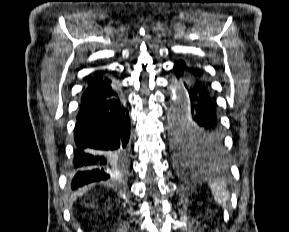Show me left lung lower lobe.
<instances>
[{"label": "left lung lower lobe", "mask_w": 289, "mask_h": 232, "mask_svg": "<svg viewBox=\"0 0 289 232\" xmlns=\"http://www.w3.org/2000/svg\"><path fill=\"white\" fill-rule=\"evenodd\" d=\"M173 71L184 88L189 102L188 110L181 114L194 123L197 130L210 144L216 149H221L223 146L222 130L213 99L200 69L193 64L179 60L174 65Z\"/></svg>", "instance_id": "left-lung-lower-lobe-1"}]
</instances>
